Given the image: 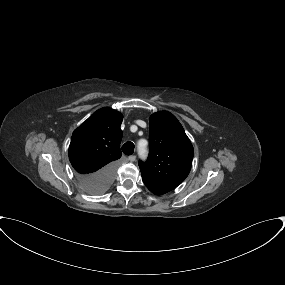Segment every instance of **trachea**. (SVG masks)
<instances>
[{"instance_id":"obj_1","label":"trachea","mask_w":285,"mask_h":285,"mask_svg":"<svg viewBox=\"0 0 285 285\" xmlns=\"http://www.w3.org/2000/svg\"><path fill=\"white\" fill-rule=\"evenodd\" d=\"M122 151L125 155H132L134 152V144L132 142H126L122 146Z\"/></svg>"}]
</instances>
